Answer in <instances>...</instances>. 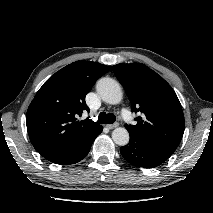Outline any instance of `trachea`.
<instances>
[{
  "label": "trachea",
  "mask_w": 213,
  "mask_h": 213,
  "mask_svg": "<svg viewBox=\"0 0 213 213\" xmlns=\"http://www.w3.org/2000/svg\"><path fill=\"white\" fill-rule=\"evenodd\" d=\"M116 121V117L112 113L101 112L98 116V122L100 124H113Z\"/></svg>",
  "instance_id": "1"
}]
</instances>
